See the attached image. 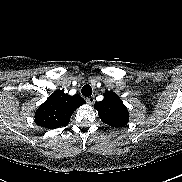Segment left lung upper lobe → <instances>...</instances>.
<instances>
[{
    "instance_id": "obj_1",
    "label": "left lung upper lobe",
    "mask_w": 182,
    "mask_h": 182,
    "mask_svg": "<svg viewBox=\"0 0 182 182\" xmlns=\"http://www.w3.org/2000/svg\"><path fill=\"white\" fill-rule=\"evenodd\" d=\"M103 96V100L94 105L101 121L112 127L126 126L129 121V113L120 97L113 91H107Z\"/></svg>"
}]
</instances>
